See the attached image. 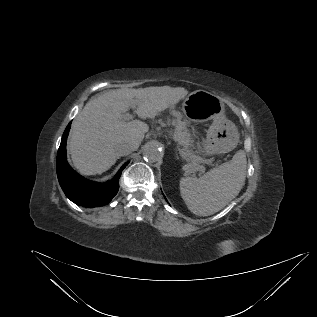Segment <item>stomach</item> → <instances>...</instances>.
<instances>
[{
  "label": "stomach",
  "mask_w": 317,
  "mask_h": 317,
  "mask_svg": "<svg viewBox=\"0 0 317 317\" xmlns=\"http://www.w3.org/2000/svg\"><path fill=\"white\" fill-rule=\"evenodd\" d=\"M187 102H195L205 111L203 121H211L203 152L207 155L221 154L233 150L239 142L238 129L224 116V104L219 96L204 90L192 92Z\"/></svg>",
  "instance_id": "obj_1"
}]
</instances>
